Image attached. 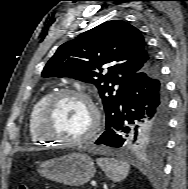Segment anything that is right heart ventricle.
Wrapping results in <instances>:
<instances>
[{
	"label": "right heart ventricle",
	"mask_w": 188,
	"mask_h": 189,
	"mask_svg": "<svg viewBox=\"0 0 188 189\" xmlns=\"http://www.w3.org/2000/svg\"><path fill=\"white\" fill-rule=\"evenodd\" d=\"M53 94L52 91H49L39 97L36 102L32 105L29 116H28V133L32 143L36 145H45L48 144L49 141L44 140L40 137L37 132V121L39 118V114L47 101V99Z\"/></svg>",
	"instance_id": "right-heart-ventricle-1"
}]
</instances>
